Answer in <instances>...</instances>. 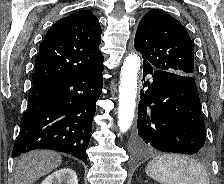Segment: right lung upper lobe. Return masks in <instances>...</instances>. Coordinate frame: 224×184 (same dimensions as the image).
Returning <instances> with one entry per match:
<instances>
[{"mask_svg": "<svg viewBox=\"0 0 224 184\" xmlns=\"http://www.w3.org/2000/svg\"><path fill=\"white\" fill-rule=\"evenodd\" d=\"M101 27L87 10L57 21L46 33L35 62L33 85L92 72L103 66Z\"/></svg>", "mask_w": 224, "mask_h": 184, "instance_id": "obj_1", "label": "right lung upper lobe"}]
</instances>
